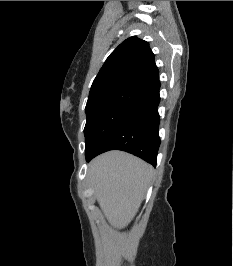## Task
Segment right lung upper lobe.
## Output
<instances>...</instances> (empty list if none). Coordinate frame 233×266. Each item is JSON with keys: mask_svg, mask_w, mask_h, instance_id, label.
Instances as JSON below:
<instances>
[{"mask_svg": "<svg viewBox=\"0 0 233 266\" xmlns=\"http://www.w3.org/2000/svg\"><path fill=\"white\" fill-rule=\"evenodd\" d=\"M158 85V69L148 42L133 36L106 59L92 83L88 100L120 91L148 93Z\"/></svg>", "mask_w": 233, "mask_h": 266, "instance_id": "obj_1", "label": "right lung upper lobe"}]
</instances>
